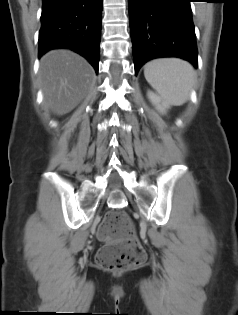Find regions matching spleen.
Returning a JSON list of instances; mask_svg holds the SVG:
<instances>
[{"mask_svg": "<svg viewBox=\"0 0 238 315\" xmlns=\"http://www.w3.org/2000/svg\"><path fill=\"white\" fill-rule=\"evenodd\" d=\"M144 76L165 102L177 106L189 100L196 83L192 65L178 58L149 61L144 66Z\"/></svg>", "mask_w": 238, "mask_h": 315, "instance_id": "spleen-1", "label": "spleen"}]
</instances>
